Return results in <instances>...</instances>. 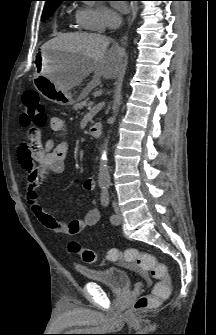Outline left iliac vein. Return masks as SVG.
<instances>
[{
    "label": "left iliac vein",
    "mask_w": 216,
    "mask_h": 335,
    "mask_svg": "<svg viewBox=\"0 0 216 335\" xmlns=\"http://www.w3.org/2000/svg\"><path fill=\"white\" fill-rule=\"evenodd\" d=\"M113 207L115 209L116 216H117V220L115 221L114 224H120L122 222L123 218H122L119 206L116 203H113Z\"/></svg>",
    "instance_id": "1"
}]
</instances>
